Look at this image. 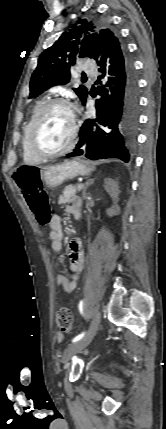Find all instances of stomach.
<instances>
[{
    "mask_svg": "<svg viewBox=\"0 0 166 429\" xmlns=\"http://www.w3.org/2000/svg\"><path fill=\"white\" fill-rule=\"evenodd\" d=\"M93 170L94 168L84 160H69L58 165L44 167L40 170V179L49 189H54L67 180L88 175Z\"/></svg>",
    "mask_w": 166,
    "mask_h": 429,
    "instance_id": "1",
    "label": "stomach"
}]
</instances>
